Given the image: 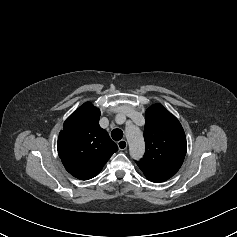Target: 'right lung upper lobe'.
Here are the masks:
<instances>
[{
    "label": "right lung upper lobe",
    "mask_w": 237,
    "mask_h": 237,
    "mask_svg": "<svg viewBox=\"0 0 237 237\" xmlns=\"http://www.w3.org/2000/svg\"><path fill=\"white\" fill-rule=\"evenodd\" d=\"M99 117L100 110L86 102L67 118L59 134V157L66 170L80 180L95 177L118 150L98 124Z\"/></svg>",
    "instance_id": "cb5924a9"
}]
</instances>
